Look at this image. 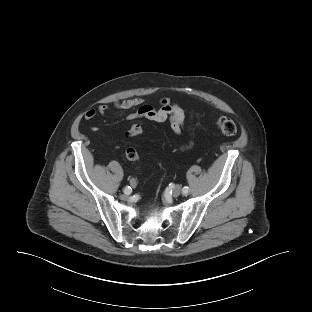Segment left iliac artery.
Returning a JSON list of instances; mask_svg holds the SVG:
<instances>
[{
  "label": "left iliac artery",
  "instance_id": "1",
  "mask_svg": "<svg viewBox=\"0 0 312 312\" xmlns=\"http://www.w3.org/2000/svg\"><path fill=\"white\" fill-rule=\"evenodd\" d=\"M183 194H188L189 192V187L185 186L182 190Z\"/></svg>",
  "mask_w": 312,
  "mask_h": 312
}]
</instances>
